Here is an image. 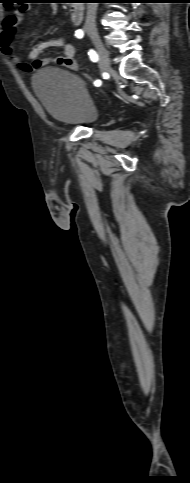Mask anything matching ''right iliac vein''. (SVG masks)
<instances>
[{"instance_id":"right-iliac-vein-1","label":"right iliac vein","mask_w":190,"mask_h":483,"mask_svg":"<svg viewBox=\"0 0 190 483\" xmlns=\"http://www.w3.org/2000/svg\"><path fill=\"white\" fill-rule=\"evenodd\" d=\"M88 34L97 50L99 56V67L101 72H108L110 70V61L107 49L103 45L96 30L89 29Z\"/></svg>"}]
</instances>
